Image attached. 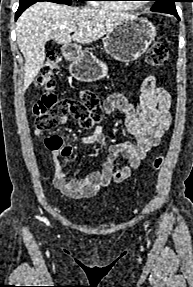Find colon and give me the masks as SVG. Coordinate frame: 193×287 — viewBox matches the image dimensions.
<instances>
[{
    "instance_id": "5ec220e1",
    "label": "colon",
    "mask_w": 193,
    "mask_h": 287,
    "mask_svg": "<svg viewBox=\"0 0 193 287\" xmlns=\"http://www.w3.org/2000/svg\"><path fill=\"white\" fill-rule=\"evenodd\" d=\"M168 60V50L163 43H154L146 54V62L150 66H163ZM60 69V59L56 53H49L37 78V85L45 92L34 105L36 127L43 131L54 128L60 118L70 114L84 128H90L102 118L99 97L90 91H83L80 100H57L51 92L55 85V75ZM53 136V135H51ZM162 163L161 158L155 160V167Z\"/></svg>"
}]
</instances>
